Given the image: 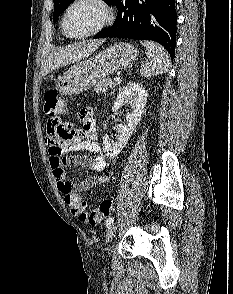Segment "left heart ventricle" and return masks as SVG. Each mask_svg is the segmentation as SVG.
Masks as SVG:
<instances>
[{"label":"left heart ventricle","mask_w":233,"mask_h":294,"mask_svg":"<svg viewBox=\"0 0 233 294\" xmlns=\"http://www.w3.org/2000/svg\"><path fill=\"white\" fill-rule=\"evenodd\" d=\"M104 18L103 9L91 2L76 5L66 18V29L72 35H81L97 27Z\"/></svg>","instance_id":"b2bd125f"}]
</instances>
